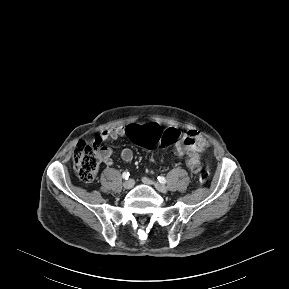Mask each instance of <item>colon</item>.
<instances>
[{"mask_svg": "<svg viewBox=\"0 0 289 289\" xmlns=\"http://www.w3.org/2000/svg\"><path fill=\"white\" fill-rule=\"evenodd\" d=\"M130 139L137 145L152 149L157 145L168 146L178 142L182 135L174 128L163 130L157 124H148L142 127L130 125L126 128ZM101 147L98 144L79 142L73 153V164L79 178L84 182L95 179L101 161ZM209 173L203 171L199 174V181L206 183Z\"/></svg>", "mask_w": 289, "mask_h": 289, "instance_id": "5ec220e1", "label": "colon"}]
</instances>
